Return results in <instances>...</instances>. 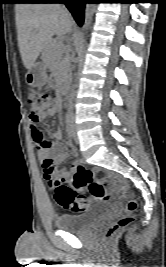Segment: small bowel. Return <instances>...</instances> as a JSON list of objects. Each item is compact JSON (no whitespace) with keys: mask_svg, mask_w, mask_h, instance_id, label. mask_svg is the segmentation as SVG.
<instances>
[{"mask_svg":"<svg viewBox=\"0 0 166 267\" xmlns=\"http://www.w3.org/2000/svg\"><path fill=\"white\" fill-rule=\"evenodd\" d=\"M58 109V104L53 103L52 107L48 109L46 112H44L38 120H34L33 118L29 117V126L32 133V137L34 140V143L37 148L38 157L43 161V164L50 162L53 167L59 165L63 159H64V150L61 146L60 142L63 139V133L61 130H56L53 133V138L55 139V142H49L45 140L44 143L40 144L36 138V134L38 131H41V128L39 124L42 120L45 118H50L55 115L56 111ZM43 133V132H42ZM63 178H67L66 172L62 171ZM53 173H47L44 171V176L47 180H50ZM120 181V180H119ZM103 201H112V196H103Z\"/></svg>","mask_w":166,"mask_h":267,"instance_id":"obj_1","label":"small bowel"}]
</instances>
